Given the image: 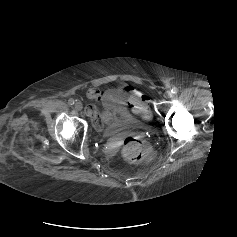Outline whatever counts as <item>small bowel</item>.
<instances>
[{"label": "small bowel", "instance_id": "obj_1", "mask_svg": "<svg viewBox=\"0 0 237 237\" xmlns=\"http://www.w3.org/2000/svg\"><path fill=\"white\" fill-rule=\"evenodd\" d=\"M87 96L100 102L104 109L102 114H99L94 105L87 106L86 113L97 130L111 128L118 122L130 120V110L143 117L149 115L148 98L132 85H120L104 90L93 87L87 91Z\"/></svg>", "mask_w": 237, "mask_h": 237}]
</instances>
